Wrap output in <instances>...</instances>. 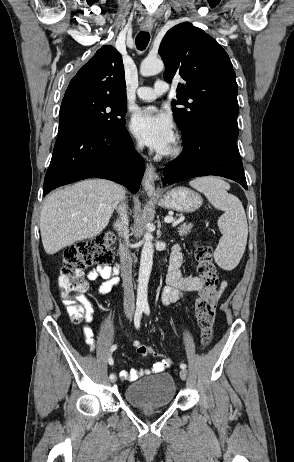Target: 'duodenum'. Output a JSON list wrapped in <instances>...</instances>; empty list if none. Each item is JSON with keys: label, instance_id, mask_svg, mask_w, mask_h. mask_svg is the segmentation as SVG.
Wrapping results in <instances>:
<instances>
[{"label": "duodenum", "instance_id": "410a0bca", "mask_svg": "<svg viewBox=\"0 0 294 462\" xmlns=\"http://www.w3.org/2000/svg\"><path fill=\"white\" fill-rule=\"evenodd\" d=\"M119 258H120V265L124 266L126 264L127 258H128V249L124 244L120 245Z\"/></svg>", "mask_w": 294, "mask_h": 462}]
</instances>
